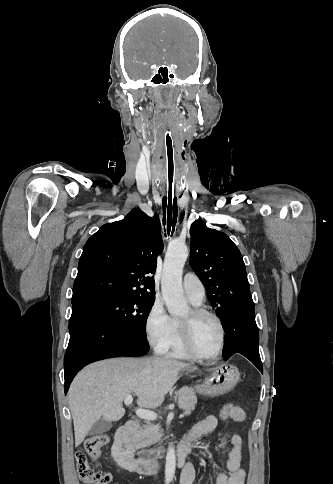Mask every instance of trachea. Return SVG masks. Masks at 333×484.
<instances>
[{
    "mask_svg": "<svg viewBox=\"0 0 333 484\" xmlns=\"http://www.w3.org/2000/svg\"><path fill=\"white\" fill-rule=\"evenodd\" d=\"M162 142L160 152L164 158V172L166 188L163 193V225L164 231L171 236L175 231V225L177 222V172L175 167L177 165L176 151L174 149L175 133L171 129H166L161 134ZM166 227V229H165ZM166 236V234H165Z\"/></svg>",
    "mask_w": 333,
    "mask_h": 484,
    "instance_id": "1",
    "label": "trachea"
}]
</instances>
